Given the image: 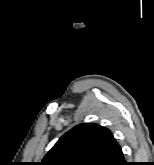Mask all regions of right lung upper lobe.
Here are the masks:
<instances>
[{
	"instance_id": "1",
	"label": "right lung upper lobe",
	"mask_w": 154,
	"mask_h": 165,
	"mask_svg": "<svg viewBox=\"0 0 154 165\" xmlns=\"http://www.w3.org/2000/svg\"><path fill=\"white\" fill-rule=\"evenodd\" d=\"M119 151L110 130L84 123L64 134L40 165H111Z\"/></svg>"
}]
</instances>
